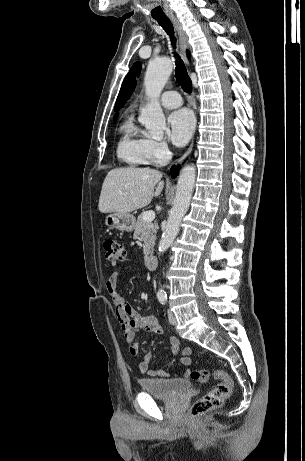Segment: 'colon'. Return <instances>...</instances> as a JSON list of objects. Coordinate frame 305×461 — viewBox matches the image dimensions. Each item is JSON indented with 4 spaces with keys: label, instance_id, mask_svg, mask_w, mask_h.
I'll use <instances>...</instances> for the list:
<instances>
[{
    "label": "colon",
    "instance_id": "5ec220e1",
    "mask_svg": "<svg viewBox=\"0 0 305 461\" xmlns=\"http://www.w3.org/2000/svg\"><path fill=\"white\" fill-rule=\"evenodd\" d=\"M104 250L106 259L112 265L125 259V248L116 240H106ZM210 374L219 382L193 404L190 410V415L193 417L221 407L231 394L233 378L223 369H215L212 373L208 369L193 370L189 373V377L194 381L206 382Z\"/></svg>",
    "mask_w": 305,
    "mask_h": 461
}]
</instances>
